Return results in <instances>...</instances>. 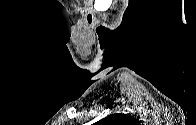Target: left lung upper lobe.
<instances>
[{"label":"left lung upper lobe","instance_id":"5c2ea615","mask_svg":"<svg viewBox=\"0 0 196 125\" xmlns=\"http://www.w3.org/2000/svg\"><path fill=\"white\" fill-rule=\"evenodd\" d=\"M134 123L136 120L124 114H112L98 121L99 125H134Z\"/></svg>","mask_w":196,"mask_h":125}]
</instances>
